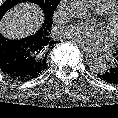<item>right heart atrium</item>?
<instances>
[{
	"label": "right heart atrium",
	"mask_w": 118,
	"mask_h": 118,
	"mask_svg": "<svg viewBox=\"0 0 118 118\" xmlns=\"http://www.w3.org/2000/svg\"><path fill=\"white\" fill-rule=\"evenodd\" d=\"M59 14H60V9L56 11V13H55V15H54L55 18H58Z\"/></svg>",
	"instance_id": "obj_1"
}]
</instances>
